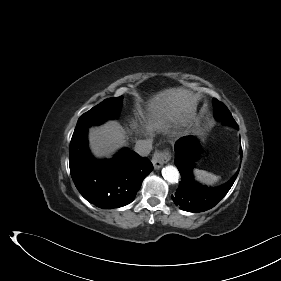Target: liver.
<instances>
[{"label": "liver", "mask_w": 281, "mask_h": 281, "mask_svg": "<svg viewBox=\"0 0 281 281\" xmlns=\"http://www.w3.org/2000/svg\"><path fill=\"white\" fill-rule=\"evenodd\" d=\"M146 106L147 130L168 132L172 124H186L191 119L192 93L183 88L165 89L150 98ZM126 144V131L117 121L89 129V146L97 158H110Z\"/></svg>", "instance_id": "obj_1"}]
</instances>
